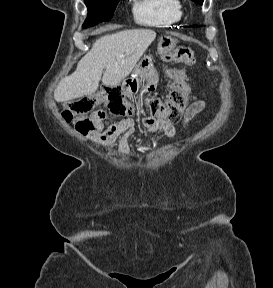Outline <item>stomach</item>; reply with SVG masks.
Returning <instances> with one entry per match:
<instances>
[{
	"label": "stomach",
	"instance_id": "obj_1",
	"mask_svg": "<svg viewBox=\"0 0 273 288\" xmlns=\"http://www.w3.org/2000/svg\"><path fill=\"white\" fill-rule=\"evenodd\" d=\"M176 43L177 41L171 36H161L158 40V53L163 58L169 56ZM134 74L139 77L124 80L122 83V88L128 93L151 92L155 89L156 71L151 56L146 55L139 61L135 66Z\"/></svg>",
	"mask_w": 273,
	"mask_h": 288
}]
</instances>
